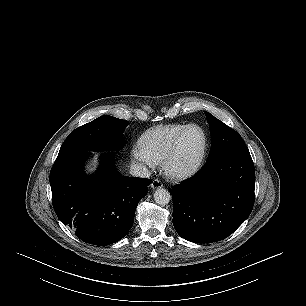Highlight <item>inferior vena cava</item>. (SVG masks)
Returning a JSON list of instances; mask_svg holds the SVG:
<instances>
[{
  "mask_svg": "<svg viewBox=\"0 0 306 306\" xmlns=\"http://www.w3.org/2000/svg\"><path fill=\"white\" fill-rule=\"evenodd\" d=\"M130 173L134 177L140 178H149L151 175V172L148 170V168L141 163H133L130 167Z\"/></svg>",
  "mask_w": 306,
  "mask_h": 306,
  "instance_id": "obj_1",
  "label": "inferior vena cava"
}]
</instances>
